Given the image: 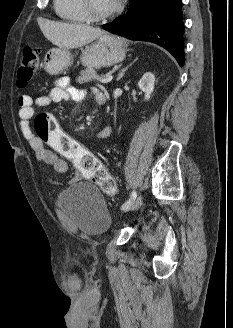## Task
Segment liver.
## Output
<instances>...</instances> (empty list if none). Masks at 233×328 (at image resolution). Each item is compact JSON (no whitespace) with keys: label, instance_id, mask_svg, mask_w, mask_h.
I'll return each instance as SVG.
<instances>
[{"label":"liver","instance_id":"6515ba94","mask_svg":"<svg viewBox=\"0 0 233 328\" xmlns=\"http://www.w3.org/2000/svg\"><path fill=\"white\" fill-rule=\"evenodd\" d=\"M43 35L62 49L78 48L99 38L104 31L85 24L60 23L40 19L38 21Z\"/></svg>","mask_w":233,"mask_h":328}]
</instances>
